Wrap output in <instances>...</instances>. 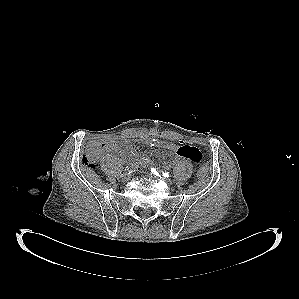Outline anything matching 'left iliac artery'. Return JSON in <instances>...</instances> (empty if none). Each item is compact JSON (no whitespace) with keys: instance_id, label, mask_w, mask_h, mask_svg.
Returning <instances> with one entry per match:
<instances>
[{"instance_id":"44dca946","label":"left iliac artery","mask_w":299,"mask_h":299,"mask_svg":"<svg viewBox=\"0 0 299 299\" xmlns=\"http://www.w3.org/2000/svg\"><path fill=\"white\" fill-rule=\"evenodd\" d=\"M151 173L156 176H159L160 178H169V176H170L168 172H163L160 170H156L154 168H151Z\"/></svg>"}]
</instances>
